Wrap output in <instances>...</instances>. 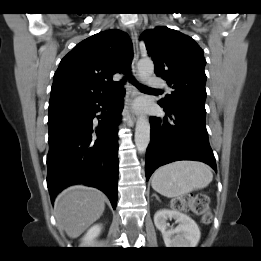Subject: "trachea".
I'll list each match as a JSON object with an SVG mask.
<instances>
[{"instance_id":"obj_1","label":"trachea","mask_w":261,"mask_h":261,"mask_svg":"<svg viewBox=\"0 0 261 261\" xmlns=\"http://www.w3.org/2000/svg\"><path fill=\"white\" fill-rule=\"evenodd\" d=\"M129 78H130V81H131L135 86H137L139 89L152 90V88H149V87H146V86H143V85L139 84L133 77L129 76Z\"/></svg>"}]
</instances>
